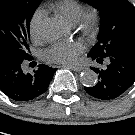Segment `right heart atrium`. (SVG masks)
<instances>
[{
	"mask_svg": "<svg viewBox=\"0 0 135 135\" xmlns=\"http://www.w3.org/2000/svg\"><path fill=\"white\" fill-rule=\"evenodd\" d=\"M45 13L43 10H36L29 21V32L32 39H39L41 36V26Z\"/></svg>",
	"mask_w": 135,
	"mask_h": 135,
	"instance_id": "obj_1",
	"label": "right heart atrium"
}]
</instances>
